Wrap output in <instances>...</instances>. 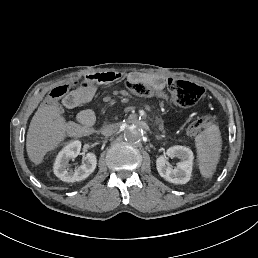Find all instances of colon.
<instances>
[{"label": "colon", "instance_id": "5ec220e1", "mask_svg": "<svg viewBox=\"0 0 258 258\" xmlns=\"http://www.w3.org/2000/svg\"><path fill=\"white\" fill-rule=\"evenodd\" d=\"M81 81H75L69 85H60L52 89L49 95L48 104H53L55 101L63 98L72 87L81 86ZM131 92L143 97L159 96L161 93L155 85L147 84L143 81L133 80L127 83ZM167 90L170 98L178 105L188 107L196 104L203 96L204 89L194 83L169 78L167 80ZM210 116L206 115L195 119L187 128L189 135H197L209 122Z\"/></svg>", "mask_w": 258, "mask_h": 258}]
</instances>
